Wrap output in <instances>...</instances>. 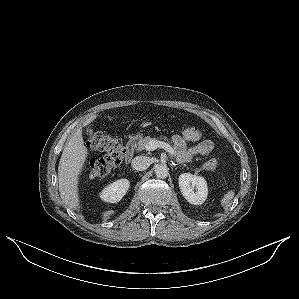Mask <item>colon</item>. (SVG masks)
Instances as JSON below:
<instances>
[{"label": "colon", "mask_w": 299, "mask_h": 299, "mask_svg": "<svg viewBox=\"0 0 299 299\" xmlns=\"http://www.w3.org/2000/svg\"><path fill=\"white\" fill-rule=\"evenodd\" d=\"M185 141L197 142L202 140L204 133L196 127H184L178 134ZM88 146L96 151L105 152L101 158L90 161L89 173L93 177L105 176L118 166L124 156V147L119 139L104 133H94L88 139ZM215 166L216 161L208 163Z\"/></svg>", "instance_id": "5ec220e1"}]
</instances>
